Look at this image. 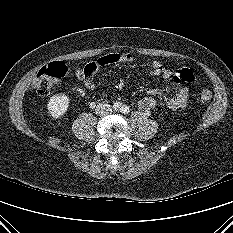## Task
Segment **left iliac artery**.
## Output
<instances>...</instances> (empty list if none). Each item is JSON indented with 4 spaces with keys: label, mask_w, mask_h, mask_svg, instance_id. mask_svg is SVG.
Returning <instances> with one entry per match:
<instances>
[{
    "label": "left iliac artery",
    "mask_w": 233,
    "mask_h": 233,
    "mask_svg": "<svg viewBox=\"0 0 233 233\" xmlns=\"http://www.w3.org/2000/svg\"><path fill=\"white\" fill-rule=\"evenodd\" d=\"M121 112L124 113V114H129L130 109H129L128 106H123V107L121 108Z\"/></svg>",
    "instance_id": "obj_1"
}]
</instances>
